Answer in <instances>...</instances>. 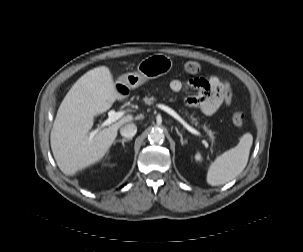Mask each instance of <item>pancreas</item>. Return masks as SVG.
Listing matches in <instances>:
<instances>
[{"mask_svg":"<svg viewBox=\"0 0 303 252\" xmlns=\"http://www.w3.org/2000/svg\"><path fill=\"white\" fill-rule=\"evenodd\" d=\"M144 103L147 104V105H152L155 101H156V98L153 97V96H146L144 99H143ZM188 113L186 112V115ZM189 119L192 121V123H194L196 126H200L199 125V122L197 121L196 118H194L192 115L189 116ZM202 128L207 132V134L211 137L212 141H214V134L213 132L208 129L205 125L202 126Z\"/></svg>","mask_w":303,"mask_h":252,"instance_id":"cf45deb5","label":"pancreas"}]
</instances>
